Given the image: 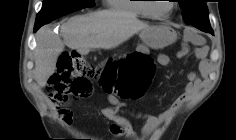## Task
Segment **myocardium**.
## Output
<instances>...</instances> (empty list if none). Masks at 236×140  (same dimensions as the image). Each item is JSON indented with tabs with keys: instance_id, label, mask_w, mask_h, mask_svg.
Segmentation results:
<instances>
[{
	"instance_id": "obj_1",
	"label": "myocardium",
	"mask_w": 236,
	"mask_h": 140,
	"mask_svg": "<svg viewBox=\"0 0 236 140\" xmlns=\"http://www.w3.org/2000/svg\"><path fill=\"white\" fill-rule=\"evenodd\" d=\"M148 1H152V0H148ZM147 6V10L150 14V16H152L153 18H156V19H166L168 18L172 13L173 11L175 10V4L173 2H171L170 4V9L167 13L165 14H158L155 12L154 8H153V5L152 4H146Z\"/></svg>"
}]
</instances>
